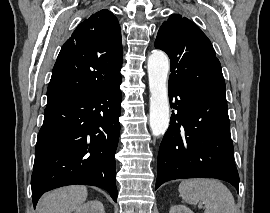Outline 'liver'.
Here are the masks:
<instances>
[{"mask_svg":"<svg viewBox=\"0 0 270 213\" xmlns=\"http://www.w3.org/2000/svg\"><path fill=\"white\" fill-rule=\"evenodd\" d=\"M88 195L85 186H68L44 194L38 203V213H72Z\"/></svg>","mask_w":270,"mask_h":213,"instance_id":"liver-1","label":"liver"}]
</instances>
